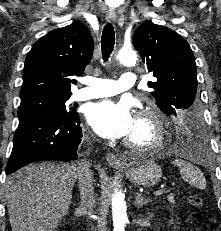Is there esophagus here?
I'll return each mask as SVG.
<instances>
[{
	"label": "esophagus",
	"mask_w": 221,
	"mask_h": 231,
	"mask_svg": "<svg viewBox=\"0 0 221 231\" xmlns=\"http://www.w3.org/2000/svg\"><path fill=\"white\" fill-rule=\"evenodd\" d=\"M106 19L108 22H116V15L112 12H109L106 16ZM106 160L108 162L109 165L114 166V167H119L121 166L120 161L118 160V158L116 157L115 154L113 153H107L106 155Z\"/></svg>",
	"instance_id": "esophagus-1"
}]
</instances>
